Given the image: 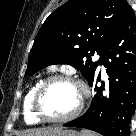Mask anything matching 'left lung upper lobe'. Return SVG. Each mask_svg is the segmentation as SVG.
<instances>
[{"label":"left lung upper lobe","instance_id":"5c2ea615","mask_svg":"<svg viewBox=\"0 0 136 136\" xmlns=\"http://www.w3.org/2000/svg\"><path fill=\"white\" fill-rule=\"evenodd\" d=\"M130 8L126 0H69L40 28L25 74L52 64H69L89 82L99 65L90 56L102 55Z\"/></svg>","mask_w":136,"mask_h":136}]
</instances>
